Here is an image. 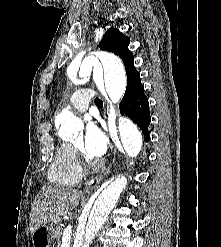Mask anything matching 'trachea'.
Listing matches in <instances>:
<instances>
[{
	"label": "trachea",
	"mask_w": 221,
	"mask_h": 247,
	"mask_svg": "<svg viewBox=\"0 0 221 247\" xmlns=\"http://www.w3.org/2000/svg\"><path fill=\"white\" fill-rule=\"evenodd\" d=\"M94 102L97 107L101 108L103 106V102L99 98H95Z\"/></svg>",
	"instance_id": "3493384b"
}]
</instances>
